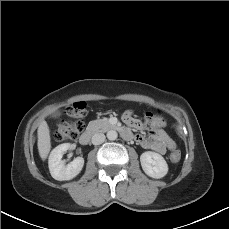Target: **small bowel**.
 I'll list each match as a JSON object with an SVG mask.
<instances>
[{"mask_svg":"<svg viewBox=\"0 0 229 229\" xmlns=\"http://www.w3.org/2000/svg\"><path fill=\"white\" fill-rule=\"evenodd\" d=\"M148 118L152 119L154 124L150 134L147 137L137 134L134 135L133 138L141 147L163 155L166 153L167 149H170L172 145H175V143L163 129L166 122L162 117L152 113H147L146 119ZM122 119L127 127L131 129H138L141 127V122L134 117L131 110L125 111Z\"/></svg>","mask_w":229,"mask_h":229,"instance_id":"c3829d8e","label":"small bowel"}]
</instances>
